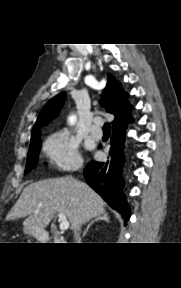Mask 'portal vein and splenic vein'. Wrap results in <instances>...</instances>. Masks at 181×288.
<instances>
[{"label": "portal vein and splenic vein", "mask_w": 181, "mask_h": 288, "mask_svg": "<svg viewBox=\"0 0 181 288\" xmlns=\"http://www.w3.org/2000/svg\"><path fill=\"white\" fill-rule=\"evenodd\" d=\"M60 225L59 228L61 231H65L69 228V221L66 218V215L64 213H58Z\"/></svg>", "instance_id": "obj_1"}]
</instances>
